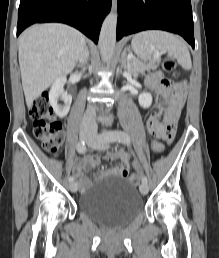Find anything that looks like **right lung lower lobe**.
Here are the masks:
<instances>
[{
	"label": "right lung lower lobe",
	"instance_id": "obj_1",
	"mask_svg": "<svg viewBox=\"0 0 219 258\" xmlns=\"http://www.w3.org/2000/svg\"><path fill=\"white\" fill-rule=\"evenodd\" d=\"M111 0H21L18 10L17 36L34 23L69 24L95 43Z\"/></svg>",
	"mask_w": 219,
	"mask_h": 258
}]
</instances>
